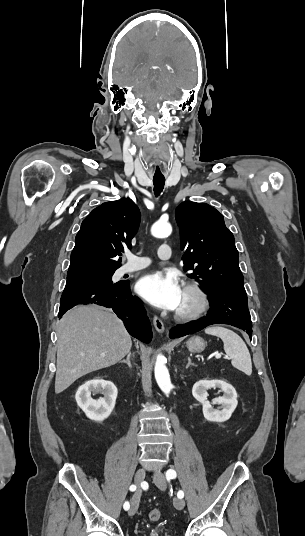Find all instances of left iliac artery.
Returning a JSON list of instances; mask_svg holds the SVG:
<instances>
[{"mask_svg": "<svg viewBox=\"0 0 305 536\" xmlns=\"http://www.w3.org/2000/svg\"><path fill=\"white\" fill-rule=\"evenodd\" d=\"M176 478V472L172 469H169L167 470L166 472V479L167 481H170L171 479H174ZM178 498H183L184 497V493L183 491H179L178 494H177Z\"/></svg>", "mask_w": 305, "mask_h": 536, "instance_id": "1", "label": "left iliac artery"}]
</instances>
